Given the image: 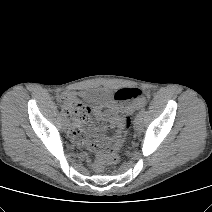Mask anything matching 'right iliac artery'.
Wrapping results in <instances>:
<instances>
[{
    "instance_id": "right-iliac-artery-1",
    "label": "right iliac artery",
    "mask_w": 212,
    "mask_h": 212,
    "mask_svg": "<svg viewBox=\"0 0 212 212\" xmlns=\"http://www.w3.org/2000/svg\"><path fill=\"white\" fill-rule=\"evenodd\" d=\"M61 116H62L63 118H66V114H65V113H61Z\"/></svg>"
}]
</instances>
